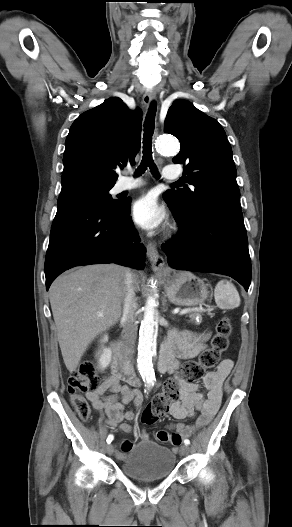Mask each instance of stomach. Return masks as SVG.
Listing matches in <instances>:
<instances>
[{
  "mask_svg": "<svg viewBox=\"0 0 292 527\" xmlns=\"http://www.w3.org/2000/svg\"><path fill=\"white\" fill-rule=\"evenodd\" d=\"M162 279L167 297L175 305H200L209 296L207 284L190 272L169 270Z\"/></svg>",
  "mask_w": 292,
  "mask_h": 527,
  "instance_id": "1",
  "label": "stomach"
}]
</instances>
